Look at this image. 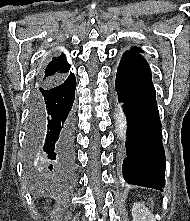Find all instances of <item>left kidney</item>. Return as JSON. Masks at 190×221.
<instances>
[{
  "instance_id": "1",
  "label": "left kidney",
  "mask_w": 190,
  "mask_h": 221,
  "mask_svg": "<svg viewBox=\"0 0 190 221\" xmlns=\"http://www.w3.org/2000/svg\"><path fill=\"white\" fill-rule=\"evenodd\" d=\"M133 221H156L154 215L142 203H134L132 207Z\"/></svg>"
}]
</instances>
